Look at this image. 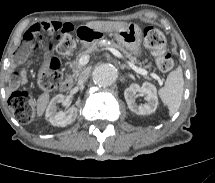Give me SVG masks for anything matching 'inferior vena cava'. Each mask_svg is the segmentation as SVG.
Returning a JSON list of instances; mask_svg holds the SVG:
<instances>
[{"label": "inferior vena cava", "mask_w": 215, "mask_h": 183, "mask_svg": "<svg viewBox=\"0 0 215 183\" xmlns=\"http://www.w3.org/2000/svg\"><path fill=\"white\" fill-rule=\"evenodd\" d=\"M88 77H89L88 71L84 70L80 73L78 82L84 83L88 79Z\"/></svg>", "instance_id": "602c4592"}]
</instances>
